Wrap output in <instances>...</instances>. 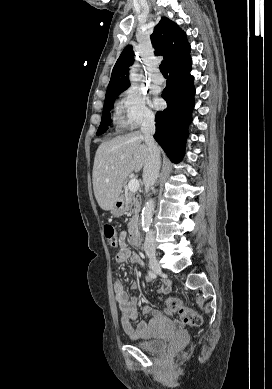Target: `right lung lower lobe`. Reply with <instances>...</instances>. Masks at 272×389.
Wrapping results in <instances>:
<instances>
[{
	"label": "right lung lower lobe",
	"mask_w": 272,
	"mask_h": 389,
	"mask_svg": "<svg viewBox=\"0 0 272 389\" xmlns=\"http://www.w3.org/2000/svg\"><path fill=\"white\" fill-rule=\"evenodd\" d=\"M190 71V56L168 69L169 78L162 93L168 107L156 114L154 138L173 162L181 161L184 156L185 131L192 121L195 105L194 77Z\"/></svg>",
	"instance_id": "right-lung-lower-lobe-1"
}]
</instances>
